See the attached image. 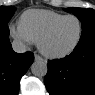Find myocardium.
Returning <instances> with one entry per match:
<instances>
[{"label": "myocardium", "mask_w": 95, "mask_h": 95, "mask_svg": "<svg viewBox=\"0 0 95 95\" xmlns=\"http://www.w3.org/2000/svg\"><path fill=\"white\" fill-rule=\"evenodd\" d=\"M69 18H74L78 21L79 23V34L78 37L75 41V43L67 50L62 51V52H51L45 48V41L51 36V34L57 29V27L66 19ZM83 32H84V26L82 20L74 14H68L57 20L55 23H53L39 38L37 45L39 51L46 57L51 58V59H60L64 58L68 55H70L80 44L82 37H83Z\"/></svg>", "instance_id": "myocardium-1"}]
</instances>
